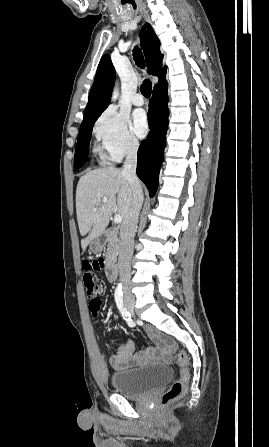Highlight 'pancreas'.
Listing matches in <instances>:
<instances>
[{
	"instance_id": "pancreas-1",
	"label": "pancreas",
	"mask_w": 269,
	"mask_h": 447,
	"mask_svg": "<svg viewBox=\"0 0 269 447\" xmlns=\"http://www.w3.org/2000/svg\"><path fill=\"white\" fill-rule=\"evenodd\" d=\"M119 247H120L119 237H117L115 233H112V235H109L108 237V247L105 253L106 265H111V263H115L117 255L119 253Z\"/></svg>"
}]
</instances>
